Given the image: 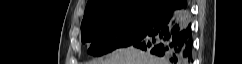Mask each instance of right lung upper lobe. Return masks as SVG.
<instances>
[{"instance_id":"obj_1","label":"right lung upper lobe","mask_w":242,"mask_h":64,"mask_svg":"<svg viewBox=\"0 0 242 64\" xmlns=\"http://www.w3.org/2000/svg\"><path fill=\"white\" fill-rule=\"evenodd\" d=\"M171 0H88L82 24L106 14L132 9L162 12Z\"/></svg>"}]
</instances>
